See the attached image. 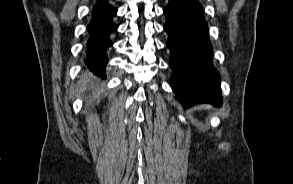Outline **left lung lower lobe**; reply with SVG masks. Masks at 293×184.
Instances as JSON below:
<instances>
[{
    "mask_svg": "<svg viewBox=\"0 0 293 184\" xmlns=\"http://www.w3.org/2000/svg\"><path fill=\"white\" fill-rule=\"evenodd\" d=\"M171 51V87L183 107L222 103L219 73L213 66L204 11L198 0H169L163 9Z\"/></svg>",
    "mask_w": 293,
    "mask_h": 184,
    "instance_id": "obj_1",
    "label": "left lung lower lobe"
}]
</instances>
